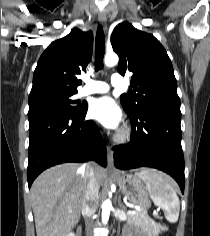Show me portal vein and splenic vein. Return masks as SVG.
Masks as SVG:
<instances>
[{
    "instance_id": "obj_1",
    "label": "portal vein and splenic vein",
    "mask_w": 210,
    "mask_h": 236,
    "mask_svg": "<svg viewBox=\"0 0 210 236\" xmlns=\"http://www.w3.org/2000/svg\"><path fill=\"white\" fill-rule=\"evenodd\" d=\"M134 214H136L135 210L130 209V210L127 211V215H129V216L134 215Z\"/></svg>"
}]
</instances>
